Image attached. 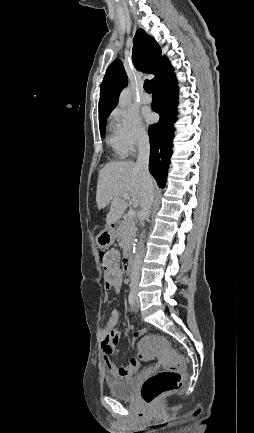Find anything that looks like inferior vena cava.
I'll list each match as a JSON object with an SVG mask.
<instances>
[{"mask_svg":"<svg viewBox=\"0 0 254 433\" xmlns=\"http://www.w3.org/2000/svg\"><path fill=\"white\" fill-rule=\"evenodd\" d=\"M138 151L139 154L137 157L136 167L140 169L144 181L143 198L141 201V217H142V225H144L143 221L145 218L149 216L150 209L154 201V185L148 169L150 144H149V137L147 135H141L139 137ZM141 264H142L141 255L139 253H136L132 264L131 285H130L132 288H137L139 284Z\"/></svg>","mask_w":254,"mask_h":433,"instance_id":"inferior-vena-cava-1","label":"inferior vena cava"}]
</instances>
